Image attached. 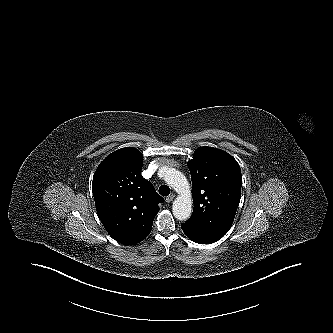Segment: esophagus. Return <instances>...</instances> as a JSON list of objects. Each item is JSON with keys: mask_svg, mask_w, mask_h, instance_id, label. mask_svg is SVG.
I'll return each instance as SVG.
<instances>
[{"mask_svg": "<svg viewBox=\"0 0 333 333\" xmlns=\"http://www.w3.org/2000/svg\"><path fill=\"white\" fill-rule=\"evenodd\" d=\"M174 198H175V194H170L169 196L166 197L165 201L167 203H170L173 201Z\"/></svg>", "mask_w": 333, "mask_h": 333, "instance_id": "esophagus-1", "label": "esophagus"}]
</instances>
